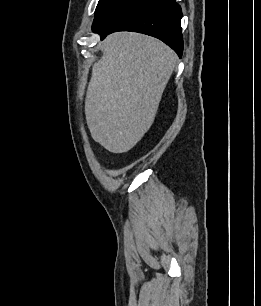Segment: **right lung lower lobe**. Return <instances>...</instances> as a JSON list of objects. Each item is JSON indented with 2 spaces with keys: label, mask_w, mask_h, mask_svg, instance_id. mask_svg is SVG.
Instances as JSON below:
<instances>
[{
  "label": "right lung lower lobe",
  "mask_w": 261,
  "mask_h": 306,
  "mask_svg": "<svg viewBox=\"0 0 261 306\" xmlns=\"http://www.w3.org/2000/svg\"><path fill=\"white\" fill-rule=\"evenodd\" d=\"M181 17L175 0H112L94 19L92 29L101 39L115 31L144 33L162 40L181 57Z\"/></svg>",
  "instance_id": "obj_1"
}]
</instances>
